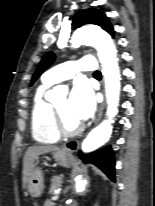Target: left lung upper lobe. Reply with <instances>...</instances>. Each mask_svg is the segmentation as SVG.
<instances>
[{"label":"left lung upper lobe","mask_w":155,"mask_h":206,"mask_svg":"<svg viewBox=\"0 0 155 206\" xmlns=\"http://www.w3.org/2000/svg\"><path fill=\"white\" fill-rule=\"evenodd\" d=\"M85 24H95L106 30L111 36H114V29L111 26L108 17L98 9L90 8L80 11L72 22V29L75 30ZM55 56L52 52L47 53L39 63L31 80V85L39 76L52 64Z\"/></svg>","instance_id":"1"}]
</instances>
